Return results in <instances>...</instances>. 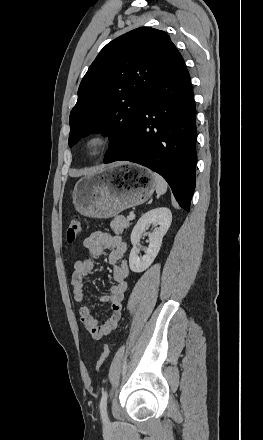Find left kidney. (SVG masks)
Returning <instances> with one entry per match:
<instances>
[{
  "label": "left kidney",
  "mask_w": 263,
  "mask_h": 440,
  "mask_svg": "<svg viewBox=\"0 0 263 440\" xmlns=\"http://www.w3.org/2000/svg\"><path fill=\"white\" fill-rule=\"evenodd\" d=\"M171 222L172 214L166 207L152 209L141 216L130 237L133 248L129 255V266L133 272H143L152 264L159 253L162 239L167 233ZM149 225L158 227L149 236V245L145 249V254L140 257L137 244Z\"/></svg>",
  "instance_id": "1"
}]
</instances>
